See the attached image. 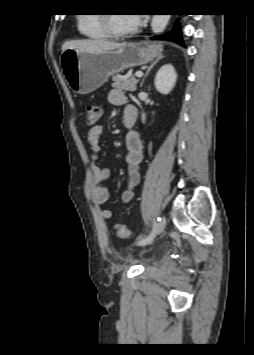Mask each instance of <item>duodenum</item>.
<instances>
[{"label":"duodenum","mask_w":254,"mask_h":355,"mask_svg":"<svg viewBox=\"0 0 254 355\" xmlns=\"http://www.w3.org/2000/svg\"><path fill=\"white\" fill-rule=\"evenodd\" d=\"M133 124H134V123H133L132 121H129V120L125 122V126H126L127 128H131V127L133 126Z\"/></svg>","instance_id":"duodenum-1"}]
</instances>
